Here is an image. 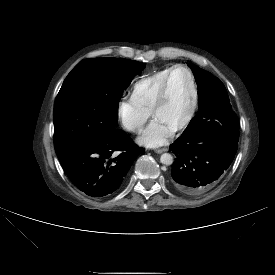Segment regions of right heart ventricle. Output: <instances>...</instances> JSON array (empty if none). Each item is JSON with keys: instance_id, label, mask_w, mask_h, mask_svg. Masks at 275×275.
Segmentation results:
<instances>
[{"instance_id": "obj_1", "label": "right heart ventricle", "mask_w": 275, "mask_h": 275, "mask_svg": "<svg viewBox=\"0 0 275 275\" xmlns=\"http://www.w3.org/2000/svg\"><path fill=\"white\" fill-rule=\"evenodd\" d=\"M171 68L158 70L135 82L132 88V99L143 108L152 111L159 91Z\"/></svg>"}]
</instances>
